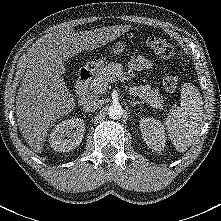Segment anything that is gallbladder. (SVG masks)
<instances>
[{
    "label": "gallbladder",
    "instance_id": "gallbladder-1",
    "mask_svg": "<svg viewBox=\"0 0 221 221\" xmlns=\"http://www.w3.org/2000/svg\"><path fill=\"white\" fill-rule=\"evenodd\" d=\"M61 71H62V72H65V69H62V68H61Z\"/></svg>",
    "mask_w": 221,
    "mask_h": 221
}]
</instances>
